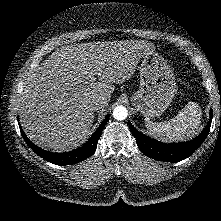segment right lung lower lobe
I'll use <instances>...</instances> for the list:
<instances>
[{
	"label": "right lung lower lobe",
	"instance_id": "98d812e1",
	"mask_svg": "<svg viewBox=\"0 0 221 221\" xmlns=\"http://www.w3.org/2000/svg\"><path fill=\"white\" fill-rule=\"evenodd\" d=\"M108 118H109V114L106 116L104 121L100 124V126L98 127L96 132L92 135V137L88 140V142H86L83 146H81L78 149H75L73 151L64 152V153H52V152L45 151V150L39 148L38 146H36L35 144H33L27 138V136L24 134L21 126H20V131H21V134H22L24 140L28 144V146L37 155H39L40 157H42L46 161L56 164V165H60V166L72 165L74 163H77V162L87 159L88 157H90L93 154V152L96 150L97 142L101 136V133H102V130H103L105 124L108 121Z\"/></svg>",
	"mask_w": 221,
	"mask_h": 221
}]
</instances>
